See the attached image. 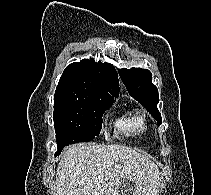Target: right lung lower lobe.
Instances as JSON below:
<instances>
[{
    "instance_id": "98d812e1",
    "label": "right lung lower lobe",
    "mask_w": 211,
    "mask_h": 195,
    "mask_svg": "<svg viewBox=\"0 0 211 195\" xmlns=\"http://www.w3.org/2000/svg\"><path fill=\"white\" fill-rule=\"evenodd\" d=\"M61 153V151H58L55 153V156H58Z\"/></svg>"
}]
</instances>
